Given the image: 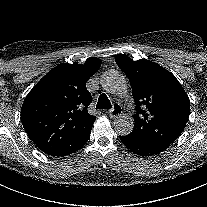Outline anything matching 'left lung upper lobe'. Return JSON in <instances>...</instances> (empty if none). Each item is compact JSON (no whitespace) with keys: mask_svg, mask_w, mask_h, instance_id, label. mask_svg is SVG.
<instances>
[{"mask_svg":"<svg viewBox=\"0 0 207 207\" xmlns=\"http://www.w3.org/2000/svg\"><path fill=\"white\" fill-rule=\"evenodd\" d=\"M115 61L130 81L136 105L135 126L128 136L149 147L166 150L187 123L188 95L172 73L152 61H133L124 54H119Z\"/></svg>","mask_w":207,"mask_h":207,"instance_id":"left-lung-upper-lobe-1","label":"left lung upper lobe"}]
</instances>
